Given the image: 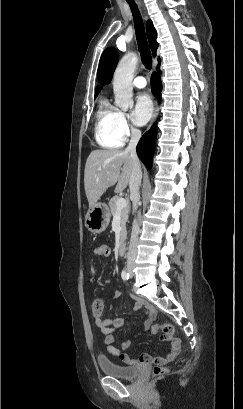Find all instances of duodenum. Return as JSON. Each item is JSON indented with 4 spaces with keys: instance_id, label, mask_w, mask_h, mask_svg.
Returning a JSON list of instances; mask_svg holds the SVG:
<instances>
[{
    "instance_id": "obj_1",
    "label": "duodenum",
    "mask_w": 243,
    "mask_h": 409,
    "mask_svg": "<svg viewBox=\"0 0 243 409\" xmlns=\"http://www.w3.org/2000/svg\"><path fill=\"white\" fill-rule=\"evenodd\" d=\"M118 253L120 256H124L126 254V244L124 242L119 244Z\"/></svg>"
}]
</instances>
